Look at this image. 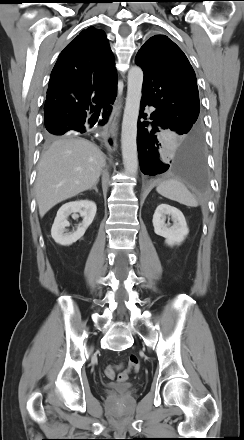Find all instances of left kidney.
<instances>
[{"mask_svg":"<svg viewBox=\"0 0 244 440\" xmlns=\"http://www.w3.org/2000/svg\"><path fill=\"white\" fill-rule=\"evenodd\" d=\"M171 216L172 226H168L166 217ZM154 232L165 238V243L169 246L179 245L189 233L187 223L183 213L175 207L167 204H160L153 215Z\"/></svg>","mask_w":244,"mask_h":440,"instance_id":"left-kidney-1","label":"left kidney"}]
</instances>
